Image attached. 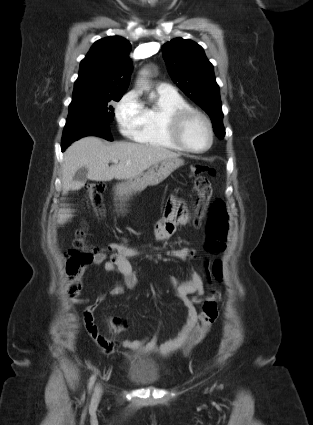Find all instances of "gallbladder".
Instances as JSON below:
<instances>
[{"instance_id": "obj_1", "label": "gallbladder", "mask_w": 313, "mask_h": 425, "mask_svg": "<svg viewBox=\"0 0 313 425\" xmlns=\"http://www.w3.org/2000/svg\"><path fill=\"white\" fill-rule=\"evenodd\" d=\"M87 168L82 167L80 168L74 175V181L85 183L87 181Z\"/></svg>"}]
</instances>
